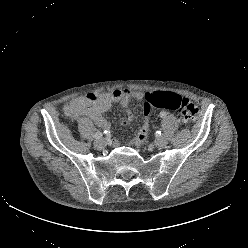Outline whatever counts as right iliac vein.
<instances>
[{"label":"right iliac vein","mask_w":248,"mask_h":248,"mask_svg":"<svg viewBox=\"0 0 248 248\" xmlns=\"http://www.w3.org/2000/svg\"><path fill=\"white\" fill-rule=\"evenodd\" d=\"M94 145L97 149H103L106 145V141L103 138L96 139Z\"/></svg>","instance_id":"1"}]
</instances>
